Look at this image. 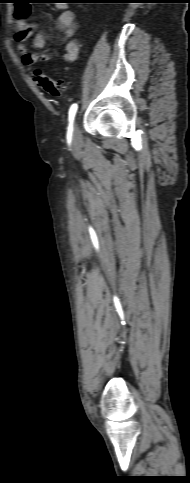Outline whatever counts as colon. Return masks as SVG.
Masks as SVG:
<instances>
[{
	"label": "colon",
	"mask_w": 190,
	"mask_h": 483,
	"mask_svg": "<svg viewBox=\"0 0 190 483\" xmlns=\"http://www.w3.org/2000/svg\"><path fill=\"white\" fill-rule=\"evenodd\" d=\"M29 7L28 3H24L17 8V18H25L27 16L26 10ZM35 80L38 85L42 87L47 93L55 97H61L64 92V83L54 77L42 73L40 70L34 72Z\"/></svg>",
	"instance_id": "colon-1"
}]
</instances>
